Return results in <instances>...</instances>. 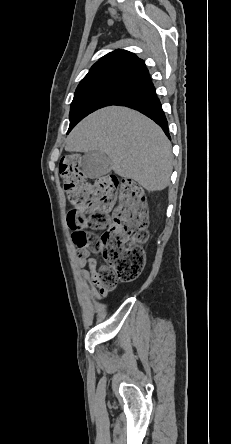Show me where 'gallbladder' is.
<instances>
[{
	"label": "gallbladder",
	"mask_w": 231,
	"mask_h": 444,
	"mask_svg": "<svg viewBox=\"0 0 231 444\" xmlns=\"http://www.w3.org/2000/svg\"><path fill=\"white\" fill-rule=\"evenodd\" d=\"M110 158L101 151H89L83 157L82 168L86 177L99 178L107 174L110 169Z\"/></svg>",
	"instance_id": "gallbladder-1"
}]
</instances>
